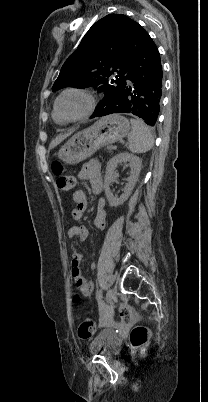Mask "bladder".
<instances>
[{
    "label": "bladder",
    "instance_id": "1",
    "mask_svg": "<svg viewBox=\"0 0 208 402\" xmlns=\"http://www.w3.org/2000/svg\"><path fill=\"white\" fill-rule=\"evenodd\" d=\"M119 334L111 329L100 330L91 341V350L94 353L114 354L121 346Z\"/></svg>",
    "mask_w": 208,
    "mask_h": 402
}]
</instances>
